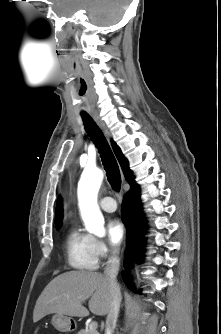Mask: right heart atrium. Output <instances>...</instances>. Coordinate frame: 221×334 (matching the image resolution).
<instances>
[{"label":"right heart atrium","instance_id":"d8ad5b80","mask_svg":"<svg viewBox=\"0 0 221 334\" xmlns=\"http://www.w3.org/2000/svg\"><path fill=\"white\" fill-rule=\"evenodd\" d=\"M94 248L100 259H107L115 254V251L100 239H94Z\"/></svg>","mask_w":221,"mask_h":334}]
</instances>
